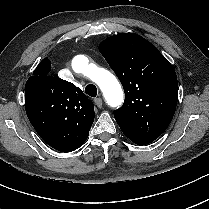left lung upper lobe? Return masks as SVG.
Listing matches in <instances>:
<instances>
[{"instance_id": "left-lung-upper-lobe-1", "label": "left lung upper lobe", "mask_w": 209, "mask_h": 209, "mask_svg": "<svg viewBox=\"0 0 209 209\" xmlns=\"http://www.w3.org/2000/svg\"><path fill=\"white\" fill-rule=\"evenodd\" d=\"M99 51L121 81L125 101L114 111L122 132L135 144L157 139L169 126L178 101L173 66L149 41L135 33L105 39Z\"/></svg>"}]
</instances>
